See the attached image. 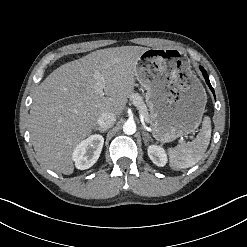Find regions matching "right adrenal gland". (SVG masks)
I'll return each instance as SVG.
<instances>
[{"label":"right adrenal gland","instance_id":"obj_1","mask_svg":"<svg viewBox=\"0 0 247 247\" xmlns=\"http://www.w3.org/2000/svg\"><path fill=\"white\" fill-rule=\"evenodd\" d=\"M95 131H99L101 133H105L107 131V129H103V128H98V127H95L94 128Z\"/></svg>","mask_w":247,"mask_h":247}]
</instances>
